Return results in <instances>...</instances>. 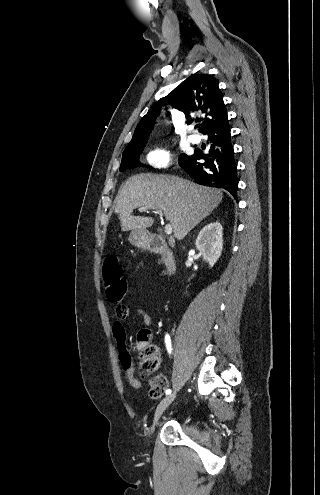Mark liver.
<instances>
[{
	"label": "liver",
	"mask_w": 320,
	"mask_h": 495,
	"mask_svg": "<svg viewBox=\"0 0 320 495\" xmlns=\"http://www.w3.org/2000/svg\"><path fill=\"white\" fill-rule=\"evenodd\" d=\"M223 193L198 186L175 176L139 174L122 187L115 213L121 230L144 231L153 224L151 217H135L136 208L160 210L172 226L174 237L182 240L198 223L218 207Z\"/></svg>",
	"instance_id": "obj_1"
}]
</instances>
